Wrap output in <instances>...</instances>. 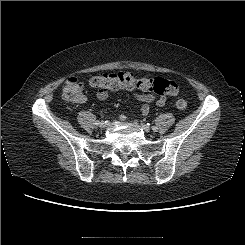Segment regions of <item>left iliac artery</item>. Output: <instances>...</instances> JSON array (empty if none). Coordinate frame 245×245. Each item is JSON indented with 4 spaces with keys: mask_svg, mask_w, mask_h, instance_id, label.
Returning a JSON list of instances; mask_svg holds the SVG:
<instances>
[{
    "mask_svg": "<svg viewBox=\"0 0 245 245\" xmlns=\"http://www.w3.org/2000/svg\"><path fill=\"white\" fill-rule=\"evenodd\" d=\"M157 129H158V128H157L156 126H153V127H152V130H153V131H157Z\"/></svg>",
    "mask_w": 245,
    "mask_h": 245,
    "instance_id": "44dca946",
    "label": "left iliac artery"
}]
</instances>
